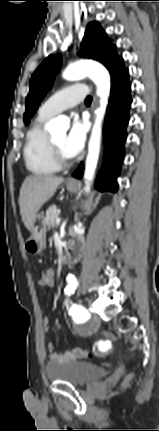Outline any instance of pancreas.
I'll return each instance as SVG.
<instances>
[{
	"mask_svg": "<svg viewBox=\"0 0 159 431\" xmlns=\"http://www.w3.org/2000/svg\"><path fill=\"white\" fill-rule=\"evenodd\" d=\"M58 217H59V211H58L57 207L55 205L50 206L46 210V217H45V221H46L48 228L55 227L56 219Z\"/></svg>",
	"mask_w": 159,
	"mask_h": 431,
	"instance_id": "pancreas-1",
	"label": "pancreas"
}]
</instances>
